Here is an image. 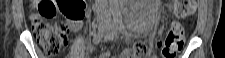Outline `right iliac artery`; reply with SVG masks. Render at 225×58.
<instances>
[{"mask_svg": "<svg viewBox=\"0 0 225 58\" xmlns=\"http://www.w3.org/2000/svg\"><path fill=\"white\" fill-rule=\"evenodd\" d=\"M105 33V28H103L101 31H99L93 38V46L97 45L101 39L103 38Z\"/></svg>", "mask_w": 225, "mask_h": 58, "instance_id": "obj_1", "label": "right iliac artery"}]
</instances>
